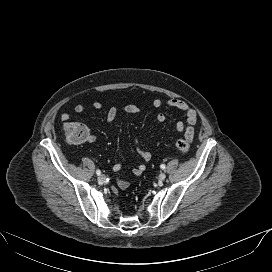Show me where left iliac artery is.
I'll return each mask as SVG.
<instances>
[{"instance_id": "44dca946", "label": "left iliac artery", "mask_w": 272, "mask_h": 272, "mask_svg": "<svg viewBox=\"0 0 272 272\" xmlns=\"http://www.w3.org/2000/svg\"><path fill=\"white\" fill-rule=\"evenodd\" d=\"M160 167H161V169H165L166 168L165 164H161Z\"/></svg>"}]
</instances>
